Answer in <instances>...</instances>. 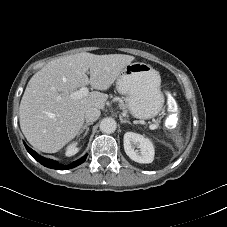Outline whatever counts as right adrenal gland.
Segmentation results:
<instances>
[{
	"instance_id": "2a0ac1e0",
	"label": "right adrenal gland",
	"mask_w": 227,
	"mask_h": 227,
	"mask_svg": "<svg viewBox=\"0 0 227 227\" xmlns=\"http://www.w3.org/2000/svg\"><path fill=\"white\" fill-rule=\"evenodd\" d=\"M92 124H93L92 122L85 123L84 126H82L81 130L79 131L78 136H80L85 131L83 134V137H82V138H84L89 131V126Z\"/></svg>"
}]
</instances>
